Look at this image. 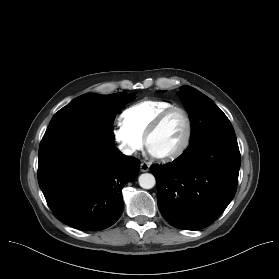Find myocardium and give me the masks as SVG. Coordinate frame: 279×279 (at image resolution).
<instances>
[{"mask_svg": "<svg viewBox=\"0 0 279 279\" xmlns=\"http://www.w3.org/2000/svg\"><path fill=\"white\" fill-rule=\"evenodd\" d=\"M174 111L181 112L185 118V121H186L185 137H184L183 141L181 142V144L173 151L165 153V154H154L150 150L149 141H150L151 137L156 133V131L160 128L163 121L168 117L169 114H171ZM192 135H193V123H192L190 114L188 113V111L185 108L174 105V106L164 109L162 112H160L156 116V118L153 120V122L151 123V125L148 127V129L146 131V134L144 136V142H145V146H146L147 150L149 151V153H151L155 158L162 160V161H169V160L176 159L177 157H179L186 151V149L188 148V146L191 142Z\"/></svg>", "mask_w": 279, "mask_h": 279, "instance_id": "obj_1", "label": "myocardium"}]
</instances>
